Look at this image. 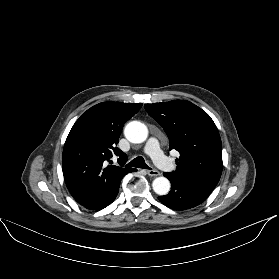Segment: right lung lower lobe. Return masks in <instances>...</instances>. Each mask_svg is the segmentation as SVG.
<instances>
[{
  "label": "right lung lower lobe",
  "mask_w": 279,
  "mask_h": 279,
  "mask_svg": "<svg viewBox=\"0 0 279 279\" xmlns=\"http://www.w3.org/2000/svg\"><path fill=\"white\" fill-rule=\"evenodd\" d=\"M120 185V184H119ZM119 185L110 193L108 194L105 198L96 201L94 203L85 205L84 207L90 210H101L111 204L114 199L116 198L118 191H119Z\"/></svg>",
  "instance_id": "obj_1"
}]
</instances>
